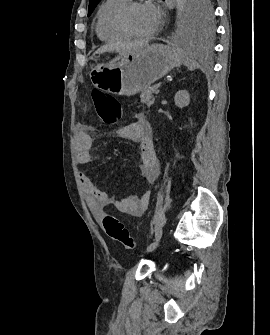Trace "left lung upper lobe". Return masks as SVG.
<instances>
[{
    "label": "left lung upper lobe",
    "mask_w": 270,
    "mask_h": 335,
    "mask_svg": "<svg viewBox=\"0 0 270 335\" xmlns=\"http://www.w3.org/2000/svg\"><path fill=\"white\" fill-rule=\"evenodd\" d=\"M101 0H90L88 16ZM185 14L188 26L199 33L212 31L213 9L210 0H186Z\"/></svg>",
    "instance_id": "5c2ea615"
}]
</instances>
